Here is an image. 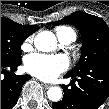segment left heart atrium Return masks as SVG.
I'll return each mask as SVG.
<instances>
[{
	"label": "left heart atrium",
	"instance_id": "1",
	"mask_svg": "<svg viewBox=\"0 0 109 109\" xmlns=\"http://www.w3.org/2000/svg\"><path fill=\"white\" fill-rule=\"evenodd\" d=\"M70 66L65 55L31 54L25 58L28 73L44 81H52L64 73Z\"/></svg>",
	"mask_w": 109,
	"mask_h": 109
}]
</instances>
